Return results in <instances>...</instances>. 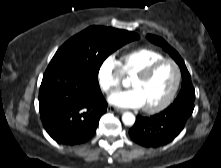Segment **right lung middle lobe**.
<instances>
[{
	"label": "right lung middle lobe",
	"mask_w": 221,
	"mask_h": 168,
	"mask_svg": "<svg viewBox=\"0 0 221 168\" xmlns=\"http://www.w3.org/2000/svg\"><path fill=\"white\" fill-rule=\"evenodd\" d=\"M139 38V35L126 30L91 26L65 42L47 70L80 71L98 80L103 61L124 44Z\"/></svg>",
	"instance_id": "obj_1"
}]
</instances>
